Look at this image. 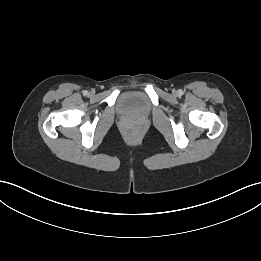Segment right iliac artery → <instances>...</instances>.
Wrapping results in <instances>:
<instances>
[{
    "mask_svg": "<svg viewBox=\"0 0 261 261\" xmlns=\"http://www.w3.org/2000/svg\"><path fill=\"white\" fill-rule=\"evenodd\" d=\"M83 95H85V96L88 95V91H86V90L83 91Z\"/></svg>",
    "mask_w": 261,
    "mask_h": 261,
    "instance_id": "82829eb1",
    "label": "right iliac artery"
}]
</instances>
